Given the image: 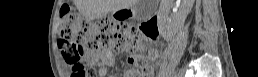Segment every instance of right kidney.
<instances>
[{
  "mask_svg": "<svg viewBox=\"0 0 258 77\" xmlns=\"http://www.w3.org/2000/svg\"><path fill=\"white\" fill-rule=\"evenodd\" d=\"M180 0H177V4H179ZM194 0H189V5L187 7H185L183 10H182V20H181V24L184 22V19L185 17L187 16V14L191 11V8H192V4H193ZM172 4V1L170 4H165V3H162L161 7L163 9H161L159 11V18L162 19V18H168V14H169V8H170V5Z\"/></svg>",
  "mask_w": 258,
  "mask_h": 77,
  "instance_id": "obj_1",
  "label": "right kidney"
}]
</instances>
